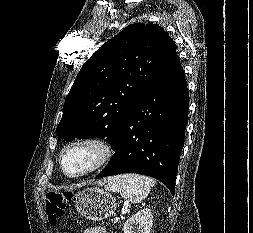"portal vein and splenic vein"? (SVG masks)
<instances>
[{
	"label": "portal vein and splenic vein",
	"instance_id": "18ae733b",
	"mask_svg": "<svg viewBox=\"0 0 253 233\" xmlns=\"http://www.w3.org/2000/svg\"><path fill=\"white\" fill-rule=\"evenodd\" d=\"M127 211H128V209H127V204H126L122 210V214H125ZM118 221H119V217H116L114 220V223H116Z\"/></svg>",
	"mask_w": 253,
	"mask_h": 233
}]
</instances>
